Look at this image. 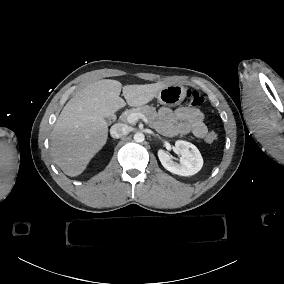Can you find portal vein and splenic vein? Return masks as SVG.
I'll list each match as a JSON object with an SVG mask.
<instances>
[{
    "label": "portal vein and splenic vein",
    "mask_w": 284,
    "mask_h": 284,
    "mask_svg": "<svg viewBox=\"0 0 284 284\" xmlns=\"http://www.w3.org/2000/svg\"><path fill=\"white\" fill-rule=\"evenodd\" d=\"M139 118H141L145 124H149L147 117L142 114L132 113L126 117L127 123L134 124Z\"/></svg>",
    "instance_id": "portal-vein-and-splenic-vein-1"
}]
</instances>
